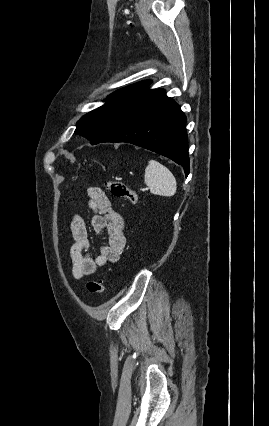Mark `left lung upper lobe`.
I'll return each mask as SVG.
<instances>
[{
    "instance_id": "1",
    "label": "left lung upper lobe",
    "mask_w": 269,
    "mask_h": 426,
    "mask_svg": "<svg viewBox=\"0 0 269 426\" xmlns=\"http://www.w3.org/2000/svg\"><path fill=\"white\" fill-rule=\"evenodd\" d=\"M149 84V80L141 81L114 92L103 106L84 115L77 122L75 133L86 137L92 145L102 142L116 126L133 95Z\"/></svg>"
}]
</instances>
